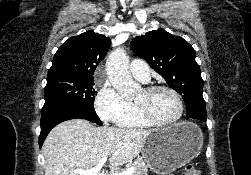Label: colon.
Segmentation results:
<instances>
[{
    "mask_svg": "<svg viewBox=\"0 0 251 175\" xmlns=\"http://www.w3.org/2000/svg\"><path fill=\"white\" fill-rule=\"evenodd\" d=\"M184 175H203L201 170L195 167L194 165L187 164L183 168Z\"/></svg>",
    "mask_w": 251,
    "mask_h": 175,
    "instance_id": "5ec220e1",
    "label": "colon"
}]
</instances>
